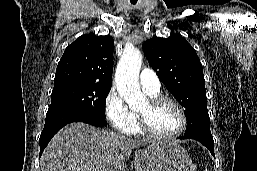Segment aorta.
<instances>
[{"label": "aorta", "mask_w": 257, "mask_h": 171, "mask_svg": "<svg viewBox=\"0 0 257 171\" xmlns=\"http://www.w3.org/2000/svg\"><path fill=\"white\" fill-rule=\"evenodd\" d=\"M141 64V52L136 48H128L124 50L116 69L117 91L131 109L145 103V97L139 85Z\"/></svg>", "instance_id": "aorta-1"}]
</instances>
